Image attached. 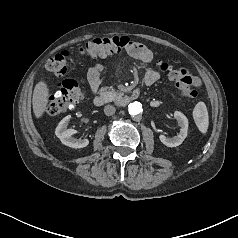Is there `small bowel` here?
<instances>
[{
	"mask_svg": "<svg viewBox=\"0 0 238 238\" xmlns=\"http://www.w3.org/2000/svg\"><path fill=\"white\" fill-rule=\"evenodd\" d=\"M128 55L146 64H150L154 58L152 50L142 43H139L134 50L128 51ZM102 71L103 65L101 64H96L88 70L87 83L92 91H96L98 89L101 82ZM159 78L160 74L151 67L147 68L143 74V82L148 86L155 83Z\"/></svg>",
	"mask_w": 238,
	"mask_h": 238,
	"instance_id": "c3829d8e",
	"label": "small bowel"
}]
</instances>
